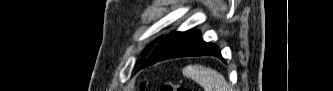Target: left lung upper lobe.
<instances>
[{"label":"left lung upper lobe","mask_w":333,"mask_h":91,"mask_svg":"<svg viewBox=\"0 0 333 91\" xmlns=\"http://www.w3.org/2000/svg\"><path fill=\"white\" fill-rule=\"evenodd\" d=\"M156 41H157V39H156L155 41H153L150 45H148V46L145 48V50L143 51L142 55L147 54V53L150 51L151 47L153 46V44H154Z\"/></svg>","instance_id":"1"}]
</instances>
